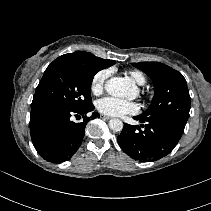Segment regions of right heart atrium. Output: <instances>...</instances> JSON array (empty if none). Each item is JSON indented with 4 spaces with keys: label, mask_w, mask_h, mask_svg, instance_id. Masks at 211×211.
I'll return each mask as SVG.
<instances>
[{
    "label": "right heart atrium",
    "mask_w": 211,
    "mask_h": 211,
    "mask_svg": "<svg viewBox=\"0 0 211 211\" xmlns=\"http://www.w3.org/2000/svg\"><path fill=\"white\" fill-rule=\"evenodd\" d=\"M110 75L109 69L98 71L91 80V91L94 94H99L103 91L106 80Z\"/></svg>",
    "instance_id": "right-heart-atrium-1"
}]
</instances>
